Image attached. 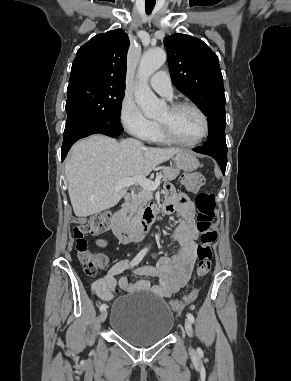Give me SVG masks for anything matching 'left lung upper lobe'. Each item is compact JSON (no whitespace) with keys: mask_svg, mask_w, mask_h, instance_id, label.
<instances>
[{"mask_svg":"<svg viewBox=\"0 0 291 381\" xmlns=\"http://www.w3.org/2000/svg\"><path fill=\"white\" fill-rule=\"evenodd\" d=\"M173 84L207 116V141L225 140V94L217 55L202 40L184 34L164 39Z\"/></svg>","mask_w":291,"mask_h":381,"instance_id":"5c2ea615","label":"left lung upper lobe"}]
</instances>
